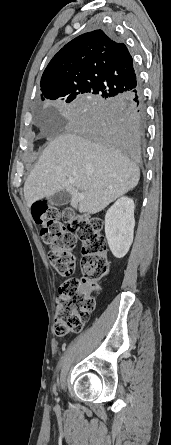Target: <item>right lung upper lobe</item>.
<instances>
[{
  "instance_id": "obj_1",
  "label": "right lung upper lobe",
  "mask_w": 171,
  "mask_h": 445,
  "mask_svg": "<svg viewBox=\"0 0 171 445\" xmlns=\"http://www.w3.org/2000/svg\"><path fill=\"white\" fill-rule=\"evenodd\" d=\"M138 86L127 47L101 29L67 43L52 58L40 82L42 100H63L82 92L123 96Z\"/></svg>"
}]
</instances>
